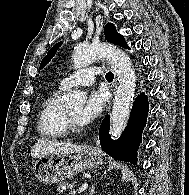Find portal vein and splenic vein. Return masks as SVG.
Here are the masks:
<instances>
[{
  "instance_id": "obj_1",
  "label": "portal vein and splenic vein",
  "mask_w": 189,
  "mask_h": 195,
  "mask_svg": "<svg viewBox=\"0 0 189 195\" xmlns=\"http://www.w3.org/2000/svg\"><path fill=\"white\" fill-rule=\"evenodd\" d=\"M87 186H88V184H83V185L81 186V188L79 189V192H80V193L83 192V191L87 188ZM74 193H75V191H74Z\"/></svg>"
}]
</instances>
